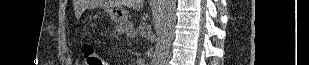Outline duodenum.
I'll return each mask as SVG.
<instances>
[{
	"label": "duodenum",
	"mask_w": 309,
	"mask_h": 65,
	"mask_svg": "<svg viewBox=\"0 0 309 65\" xmlns=\"http://www.w3.org/2000/svg\"><path fill=\"white\" fill-rule=\"evenodd\" d=\"M137 64H138V65H142L143 62H142L141 60H139V61L137 62Z\"/></svg>",
	"instance_id": "1"
}]
</instances>
